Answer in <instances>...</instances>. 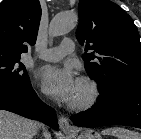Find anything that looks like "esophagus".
Wrapping results in <instances>:
<instances>
[{"label": "esophagus", "mask_w": 141, "mask_h": 139, "mask_svg": "<svg viewBox=\"0 0 141 139\" xmlns=\"http://www.w3.org/2000/svg\"><path fill=\"white\" fill-rule=\"evenodd\" d=\"M58 122H59V127L63 132H70L73 130V127L71 126L69 120L66 117L60 116Z\"/></svg>", "instance_id": "1"}]
</instances>
